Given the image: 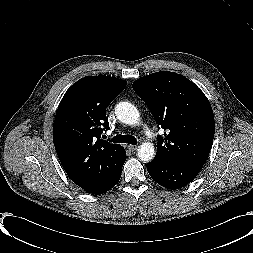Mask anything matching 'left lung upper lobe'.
Masks as SVG:
<instances>
[{
  "label": "left lung upper lobe",
  "instance_id": "5c2ea615",
  "mask_svg": "<svg viewBox=\"0 0 253 253\" xmlns=\"http://www.w3.org/2000/svg\"><path fill=\"white\" fill-rule=\"evenodd\" d=\"M132 86L156 123L167 130L164 139L158 138L154 160L203 166L215 123L211 104L198 86L183 75L167 71L144 76Z\"/></svg>",
  "mask_w": 253,
  "mask_h": 253
}]
</instances>
